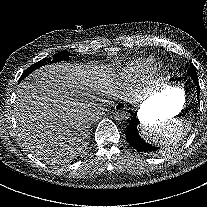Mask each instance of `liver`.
<instances>
[{"label": "liver", "mask_w": 207, "mask_h": 207, "mask_svg": "<svg viewBox=\"0 0 207 207\" xmlns=\"http://www.w3.org/2000/svg\"><path fill=\"white\" fill-rule=\"evenodd\" d=\"M97 82L89 67L55 64L20 83L14 104L17 135L32 154L64 157L81 150L94 120L97 99L91 93Z\"/></svg>", "instance_id": "1"}]
</instances>
